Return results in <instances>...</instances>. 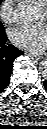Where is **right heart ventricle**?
<instances>
[{"mask_svg": "<svg viewBox=\"0 0 47 129\" xmlns=\"http://www.w3.org/2000/svg\"><path fill=\"white\" fill-rule=\"evenodd\" d=\"M39 1H41V2H43V3H44L46 0H39Z\"/></svg>", "mask_w": 47, "mask_h": 129, "instance_id": "right-heart-ventricle-1", "label": "right heart ventricle"}]
</instances>
